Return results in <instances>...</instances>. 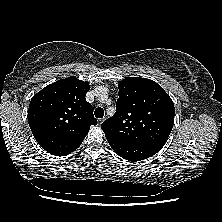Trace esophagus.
Wrapping results in <instances>:
<instances>
[{"instance_id": "obj_1", "label": "esophagus", "mask_w": 222, "mask_h": 222, "mask_svg": "<svg viewBox=\"0 0 222 222\" xmlns=\"http://www.w3.org/2000/svg\"><path fill=\"white\" fill-rule=\"evenodd\" d=\"M103 121H104V118L98 119V123H99V124H102Z\"/></svg>"}]
</instances>
